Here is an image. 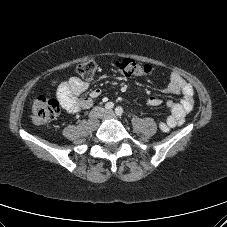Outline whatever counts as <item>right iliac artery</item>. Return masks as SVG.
I'll use <instances>...</instances> for the list:
<instances>
[{
	"label": "right iliac artery",
	"mask_w": 227,
	"mask_h": 227,
	"mask_svg": "<svg viewBox=\"0 0 227 227\" xmlns=\"http://www.w3.org/2000/svg\"><path fill=\"white\" fill-rule=\"evenodd\" d=\"M113 107H114V103H112V102H108L105 104V108L107 110H111Z\"/></svg>",
	"instance_id": "obj_1"
}]
</instances>
